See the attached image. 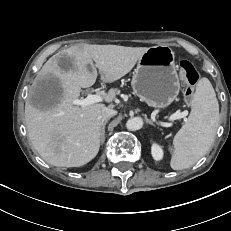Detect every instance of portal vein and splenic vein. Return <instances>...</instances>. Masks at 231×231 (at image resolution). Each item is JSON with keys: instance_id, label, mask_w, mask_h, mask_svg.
<instances>
[{"instance_id": "18ae733b", "label": "portal vein and splenic vein", "mask_w": 231, "mask_h": 231, "mask_svg": "<svg viewBox=\"0 0 231 231\" xmlns=\"http://www.w3.org/2000/svg\"><path fill=\"white\" fill-rule=\"evenodd\" d=\"M102 101V96L99 94H92L89 93L86 98L84 99H75L72 101L73 104L81 106V107H86L88 105L98 103ZM183 117V113H175L171 116V119H178ZM163 126H169V123H162Z\"/></svg>"}]
</instances>
